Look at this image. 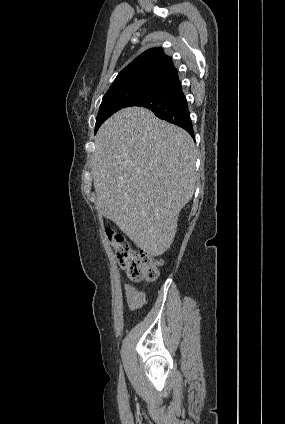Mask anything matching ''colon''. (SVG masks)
Listing matches in <instances>:
<instances>
[{"label":"colon","instance_id":"obj_1","mask_svg":"<svg viewBox=\"0 0 285 424\" xmlns=\"http://www.w3.org/2000/svg\"><path fill=\"white\" fill-rule=\"evenodd\" d=\"M106 235L115 251L118 265L127 271L130 280L152 282L157 279L162 265L160 259L145 251L135 250L121 233L113 229H106Z\"/></svg>","mask_w":285,"mask_h":424}]
</instances>
